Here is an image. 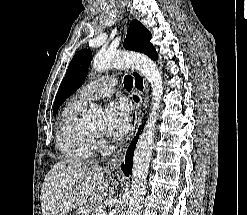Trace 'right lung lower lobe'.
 <instances>
[{"instance_id": "1", "label": "right lung lower lobe", "mask_w": 247, "mask_h": 215, "mask_svg": "<svg viewBox=\"0 0 247 215\" xmlns=\"http://www.w3.org/2000/svg\"><path fill=\"white\" fill-rule=\"evenodd\" d=\"M134 100H138V97H134ZM138 136H136V138L132 141V143L130 144L126 157H125V164L121 165V169L123 170L124 174L126 176H128L131 173V169H132V157H133V152H134V148L137 142Z\"/></svg>"}]
</instances>
